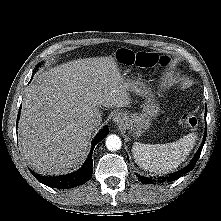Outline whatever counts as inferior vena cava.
<instances>
[{
    "label": "inferior vena cava",
    "instance_id": "1",
    "mask_svg": "<svg viewBox=\"0 0 221 221\" xmlns=\"http://www.w3.org/2000/svg\"><path fill=\"white\" fill-rule=\"evenodd\" d=\"M101 121L102 117L100 115L94 116L88 122L89 129L91 130L95 129L97 126L100 125Z\"/></svg>",
    "mask_w": 221,
    "mask_h": 221
}]
</instances>
